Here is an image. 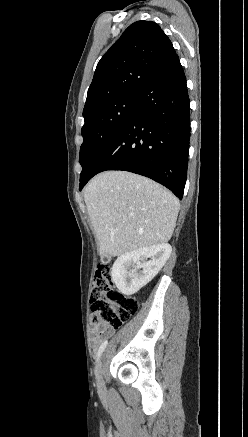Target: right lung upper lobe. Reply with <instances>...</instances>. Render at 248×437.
<instances>
[{
	"instance_id": "cb5924a9",
	"label": "right lung upper lobe",
	"mask_w": 248,
	"mask_h": 437,
	"mask_svg": "<svg viewBox=\"0 0 248 437\" xmlns=\"http://www.w3.org/2000/svg\"><path fill=\"white\" fill-rule=\"evenodd\" d=\"M177 54L158 24H131L99 61L88 89L83 117L128 94H138Z\"/></svg>"
}]
</instances>
